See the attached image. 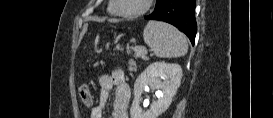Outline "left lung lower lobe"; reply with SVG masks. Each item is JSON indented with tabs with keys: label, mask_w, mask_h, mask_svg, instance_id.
I'll list each match as a JSON object with an SVG mask.
<instances>
[{
	"label": "left lung lower lobe",
	"mask_w": 273,
	"mask_h": 118,
	"mask_svg": "<svg viewBox=\"0 0 273 118\" xmlns=\"http://www.w3.org/2000/svg\"><path fill=\"white\" fill-rule=\"evenodd\" d=\"M148 20L167 22L184 32L194 44L197 32L195 0H162Z\"/></svg>",
	"instance_id": "obj_1"
}]
</instances>
